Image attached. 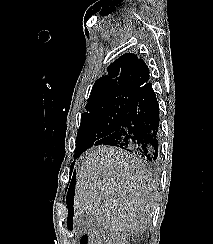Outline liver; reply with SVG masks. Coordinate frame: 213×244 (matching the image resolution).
<instances>
[{
  "instance_id": "obj_1",
  "label": "liver",
  "mask_w": 213,
  "mask_h": 244,
  "mask_svg": "<svg viewBox=\"0 0 213 244\" xmlns=\"http://www.w3.org/2000/svg\"><path fill=\"white\" fill-rule=\"evenodd\" d=\"M158 180L139 159L120 148L92 149L76 176L74 218L92 215L111 232L138 233L151 223Z\"/></svg>"
}]
</instances>
